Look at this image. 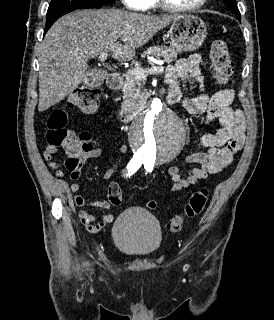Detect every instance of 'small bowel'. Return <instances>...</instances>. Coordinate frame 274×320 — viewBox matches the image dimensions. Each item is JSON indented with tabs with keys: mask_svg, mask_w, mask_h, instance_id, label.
I'll return each instance as SVG.
<instances>
[{
	"mask_svg": "<svg viewBox=\"0 0 274 320\" xmlns=\"http://www.w3.org/2000/svg\"><path fill=\"white\" fill-rule=\"evenodd\" d=\"M200 61L201 58L198 54H192L187 58L178 60L174 65L168 67L165 80L170 92L177 91L179 94V80L186 78L193 80L198 85L200 93L196 97L184 98L183 106L191 114L202 115L206 124L217 120L220 127L216 132L207 133L200 137V143L205 148L204 152H195L186 156V163L194 165V167L186 172H183L177 165L168 167L167 174L172 182V186L169 189L170 193L182 191L208 178L210 175L222 171L230 165L245 143V117L241 110L231 107L235 98L234 90L227 88L209 95L205 91ZM57 151V146H48L47 152L43 154V162L49 163V167L55 171L56 176L62 178L64 170L60 163L54 161ZM121 151L126 153L127 146H122ZM101 154L102 149L92 145L80 153L84 159L97 158ZM120 164L121 160L119 159L103 173V178L105 180L112 179ZM79 177V169L71 175L72 180H77ZM70 191L73 194L74 204L82 208L78 211V217L86 227L94 225L98 221V228H102L113 221L112 214H104L98 218L84 209L85 207H95L107 210L110 208V203L107 200L88 202L80 194V185L78 183H72Z\"/></svg>",
	"mask_w": 274,
	"mask_h": 320,
	"instance_id": "small-bowel-1",
	"label": "small bowel"
}]
</instances>
